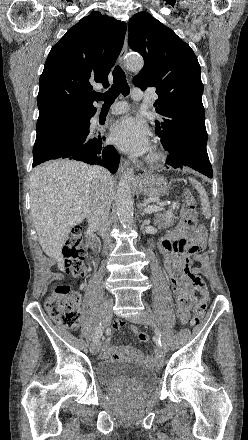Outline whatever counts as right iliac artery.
<instances>
[{
  "mask_svg": "<svg viewBox=\"0 0 248 440\" xmlns=\"http://www.w3.org/2000/svg\"><path fill=\"white\" fill-rule=\"evenodd\" d=\"M103 331H104V327H103L102 323H100L99 326L96 329V332H95V335H94V338H93L94 342L99 341V339L101 338V336L103 334Z\"/></svg>",
  "mask_w": 248,
  "mask_h": 440,
  "instance_id": "right-iliac-artery-1",
  "label": "right iliac artery"
}]
</instances>
